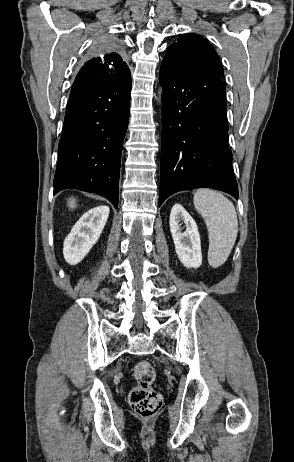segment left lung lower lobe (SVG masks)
<instances>
[{
	"label": "left lung lower lobe",
	"instance_id": "0a47b994",
	"mask_svg": "<svg viewBox=\"0 0 294 462\" xmlns=\"http://www.w3.org/2000/svg\"><path fill=\"white\" fill-rule=\"evenodd\" d=\"M159 79L164 91L158 205L175 192L201 187L238 199L224 83L165 63Z\"/></svg>",
	"mask_w": 294,
	"mask_h": 462
}]
</instances>
